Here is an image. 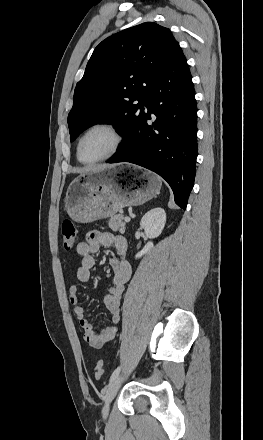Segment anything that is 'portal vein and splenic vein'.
<instances>
[{
    "label": "portal vein and splenic vein",
    "instance_id": "portal-vein-and-splenic-vein-1",
    "mask_svg": "<svg viewBox=\"0 0 263 440\" xmlns=\"http://www.w3.org/2000/svg\"><path fill=\"white\" fill-rule=\"evenodd\" d=\"M130 220H131V219H130V217H128V216H125V217H124V221H125V222H130Z\"/></svg>",
    "mask_w": 263,
    "mask_h": 440
}]
</instances>
